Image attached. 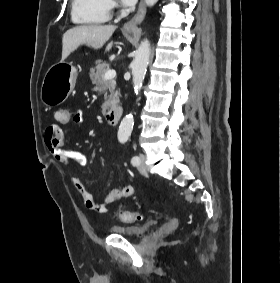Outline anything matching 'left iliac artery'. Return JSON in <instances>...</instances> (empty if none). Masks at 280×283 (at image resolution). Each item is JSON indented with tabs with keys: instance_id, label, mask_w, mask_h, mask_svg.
<instances>
[{
	"instance_id": "left-iliac-artery-1",
	"label": "left iliac artery",
	"mask_w": 280,
	"mask_h": 283,
	"mask_svg": "<svg viewBox=\"0 0 280 283\" xmlns=\"http://www.w3.org/2000/svg\"><path fill=\"white\" fill-rule=\"evenodd\" d=\"M131 163L136 166L139 163V158L137 156H134L131 160Z\"/></svg>"
}]
</instances>
